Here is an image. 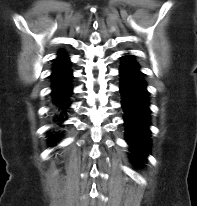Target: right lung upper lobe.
I'll return each mask as SVG.
<instances>
[{
    "mask_svg": "<svg viewBox=\"0 0 197 206\" xmlns=\"http://www.w3.org/2000/svg\"><path fill=\"white\" fill-rule=\"evenodd\" d=\"M68 62H69V60H68L67 56L61 50L59 52L58 58L55 59V64H54V67H53L52 75L55 74L56 72H58L59 70H61L62 68H64L67 65Z\"/></svg>",
    "mask_w": 197,
    "mask_h": 206,
    "instance_id": "cb5924a9",
    "label": "right lung upper lobe"
}]
</instances>
